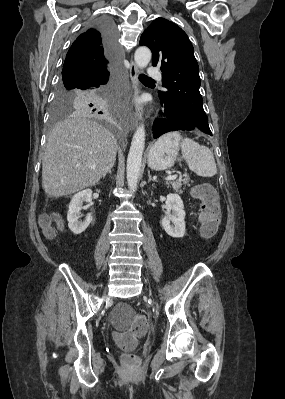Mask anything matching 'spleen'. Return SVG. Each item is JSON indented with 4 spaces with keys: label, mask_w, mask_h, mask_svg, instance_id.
<instances>
[{
    "label": "spleen",
    "mask_w": 285,
    "mask_h": 399,
    "mask_svg": "<svg viewBox=\"0 0 285 399\" xmlns=\"http://www.w3.org/2000/svg\"><path fill=\"white\" fill-rule=\"evenodd\" d=\"M181 147L182 157L191 171L202 177H213L217 173L213 153L208 147L189 138L183 139Z\"/></svg>",
    "instance_id": "obj_1"
}]
</instances>
